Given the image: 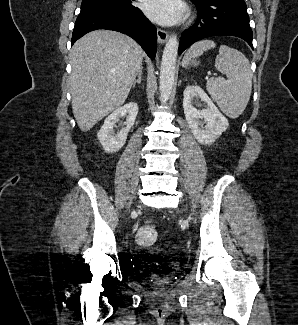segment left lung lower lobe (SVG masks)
Segmentation results:
<instances>
[{"label": "left lung lower lobe", "instance_id": "obj_1", "mask_svg": "<svg viewBox=\"0 0 298 325\" xmlns=\"http://www.w3.org/2000/svg\"><path fill=\"white\" fill-rule=\"evenodd\" d=\"M194 4L199 11L198 18L182 33L178 54L196 41L218 35L240 37L253 49V34L244 0H204Z\"/></svg>", "mask_w": 298, "mask_h": 325}]
</instances>
